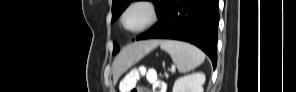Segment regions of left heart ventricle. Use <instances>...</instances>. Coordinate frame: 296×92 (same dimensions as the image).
Listing matches in <instances>:
<instances>
[{
  "instance_id": "1",
  "label": "left heart ventricle",
  "mask_w": 296,
  "mask_h": 92,
  "mask_svg": "<svg viewBox=\"0 0 296 92\" xmlns=\"http://www.w3.org/2000/svg\"><path fill=\"white\" fill-rule=\"evenodd\" d=\"M148 19L147 11L142 7H135L126 16V25L130 29L142 26Z\"/></svg>"
}]
</instances>
